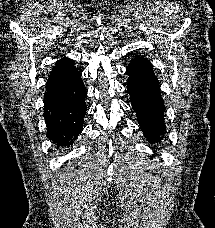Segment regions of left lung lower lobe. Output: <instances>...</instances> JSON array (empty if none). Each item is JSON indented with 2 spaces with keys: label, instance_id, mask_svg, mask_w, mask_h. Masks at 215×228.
I'll use <instances>...</instances> for the list:
<instances>
[{
  "label": "left lung lower lobe",
  "instance_id": "1",
  "mask_svg": "<svg viewBox=\"0 0 215 228\" xmlns=\"http://www.w3.org/2000/svg\"><path fill=\"white\" fill-rule=\"evenodd\" d=\"M127 74V90L141 130L147 141H161L166 130L165 107L151 64L145 58L136 57L128 65Z\"/></svg>",
  "mask_w": 215,
  "mask_h": 228
}]
</instances>
